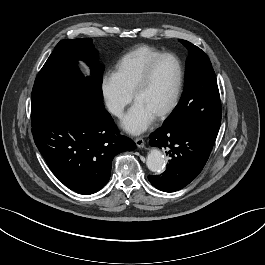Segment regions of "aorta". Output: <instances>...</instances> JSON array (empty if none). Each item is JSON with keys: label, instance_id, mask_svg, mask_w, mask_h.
<instances>
[{"label": "aorta", "instance_id": "obj_1", "mask_svg": "<svg viewBox=\"0 0 265 265\" xmlns=\"http://www.w3.org/2000/svg\"><path fill=\"white\" fill-rule=\"evenodd\" d=\"M148 169L152 172H161L165 168V158L159 149H152L146 160Z\"/></svg>", "mask_w": 265, "mask_h": 265}]
</instances>
